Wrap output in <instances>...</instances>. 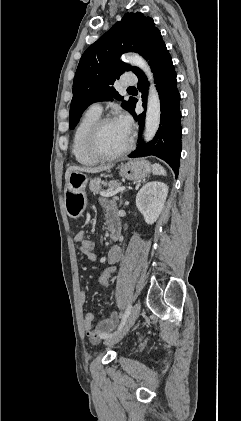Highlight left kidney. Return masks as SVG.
Segmentation results:
<instances>
[{
  "instance_id": "obj_1",
  "label": "left kidney",
  "mask_w": 241,
  "mask_h": 421,
  "mask_svg": "<svg viewBox=\"0 0 241 421\" xmlns=\"http://www.w3.org/2000/svg\"><path fill=\"white\" fill-rule=\"evenodd\" d=\"M168 195V187L163 182L152 181L145 184L136 196V206L147 224L159 218Z\"/></svg>"
}]
</instances>
